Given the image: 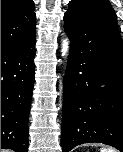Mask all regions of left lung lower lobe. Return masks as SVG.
I'll list each match as a JSON object with an SVG mask.
<instances>
[{
	"label": "left lung lower lobe",
	"mask_w": 123,
	"mask_h": 152,
	"mask_svg": "<svg viewBox=\"0 0 123 152\" xmlns=\"http://www.w3.org/2000/svg\"><path fill=\"white\" fill-rule=\"evenodd\" d=\"M70 54L63 92V152L103 143L123 152V42L118 29L83 8L68 10Z\"/></svg>",
	"instance_id": "0a47b994"
}]
</instances>
